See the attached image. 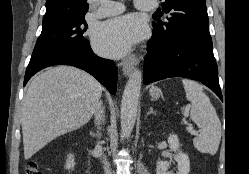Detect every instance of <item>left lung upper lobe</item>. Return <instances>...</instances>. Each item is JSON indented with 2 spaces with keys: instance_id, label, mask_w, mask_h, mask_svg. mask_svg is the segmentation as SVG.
I'll return each instance as SVG.
<instances>
[{
  "instance_id": "obj_1",
  "label": "left lung upper lobe",
  "mask_w": 249,
  "mask_h": 174,
  "mask_svg": "<svg viewBox=\"0 0 249 174\" xmlns=\"http://www.w3.org/2000/svg\"><path fill=\"white\" fill-rule=\"evenodd\" d=\"M167 22L152 23L153 36L167 44L211 39L205 0H164ZM160 12V16L163 15Z\"/></svg>"
}]
</instances>
